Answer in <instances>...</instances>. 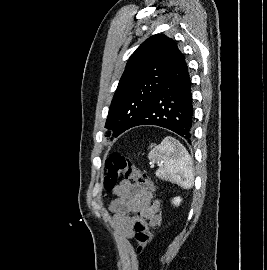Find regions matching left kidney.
Instances as JSON below:
<instances>
[{
    "label": "left kidney",
    "mask_w": 267,
    "mask_h": 270,
    "mask_svg": "<svg viewBox=\"0 0 267 270\" xmlns=\"http://www.w3.org/2000/svg\"><path fill=\"white\" fill-rule=\"evenodd\" d=\"M182 199L180 197H175L173 200H172V203L175 205V206H179L180 203H181Z\"/></svg>",
    "instance_id": "5707ae66"
}]
</instances>
